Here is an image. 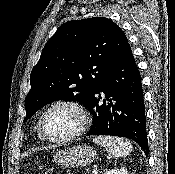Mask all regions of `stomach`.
Returning <instances> with one entry per match:
<instances>
[{"label": "stomach", "instance_id": "1", "mask_svg": "<svg viewBox=\"0 0 175 174\" xmlns=\"http://www.w3.org/2000/svg\"><path fill=\"white\" fill-rule=\"evenodd\" d=\"M97 152L87 145H77L56 152L53 161L62 167L86 166L94 161Z\"/></svg>", "mask_w": 175, "mask_h": 174}]
</instances>
